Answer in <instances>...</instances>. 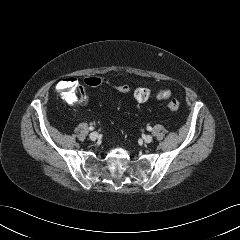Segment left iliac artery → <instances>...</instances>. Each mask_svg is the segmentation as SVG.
Wrapping results in <instances>:
<instances>
[{
  "label": "left iliac artery",
  "mask_w": 240,
  "mask_h": 240,
  "mask_svg": "<svg viewBox=\"0 0 240 240\" xmlns=\"http://www.w3.org/2000/svg\"><path fill=\"white\" fill-rule=\"evenodd\" d=\"M147 130L148 131H152V127L151 126H147Z\"/></svg>",
  "instance_id": "44dca946"
}]
</instances>
